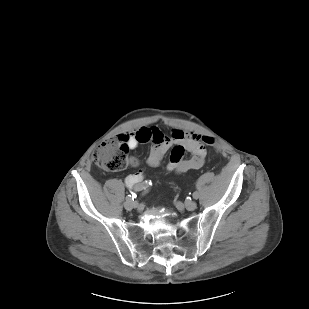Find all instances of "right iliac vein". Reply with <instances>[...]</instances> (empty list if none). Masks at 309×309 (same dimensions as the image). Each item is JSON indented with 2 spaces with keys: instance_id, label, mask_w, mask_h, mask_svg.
<instances>
[{
  "instance_id": "63e3f726",
  "label": "right iliac vein",
  "mask_w": 309,
  "mask_h": 309,
  "mask_svg": "<svg viewBox=\"0 0 309 309\" xmlns=\"http://www.w3.org/2000/svg\"><path fill=\"white\" fill-rule=\"evenodd\" d=\"M124 207L127 209V210H132L133 208H136L137 207V203L133 200H126L124 202Z\"/></svg>"
}]
</instances>
